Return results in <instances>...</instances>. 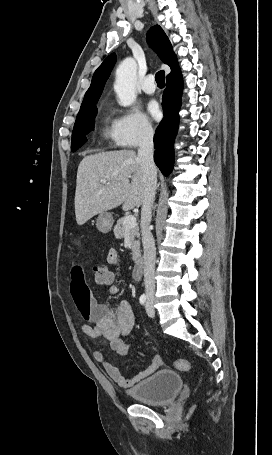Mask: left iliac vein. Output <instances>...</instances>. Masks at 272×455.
I'll return each mask as SVG.
<instances>
[{
  "mask_svg": "<svg viewBox=\"0 0 272 455\" xmlns=\"http://www.w3.org/2000/svg\"><path fill=\"white\" fill-rule=\"evenodd\" d=\"M146 312L149 317L153 318L155 316V309L153 307V302L149 300L146 305Z\"/></svg>",
  "mask_w": 272,
  "mask_h": 455,
  "instance_id": "obj_1",
  "label": "left iliac vein"
}]
</instances>
